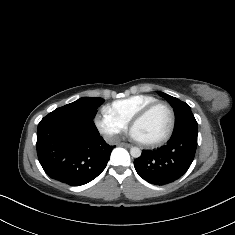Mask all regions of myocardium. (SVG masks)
<instances>
[{
	"label": "myocardium",
	"mask_w": 235,
	"mask_h": 235,
	"mask_svg": "<svg viewBox=\"0 0 235 235\" xmlns=\"http://www.w3.org/2000/svg\"><path fill=\"white\" fill-rule=\"evenodd\" d=\"M160 107H163L165 108L169 115H170V126H169V129L167 131V133L157 139V140H154L152 142H139L142 146L146 147V148H154V147H157L165 142H167L173 135L174 133V130H175V126H176V115H175V111L174 109L166 102L164 101H157V102H154L148 106H146L145 108H143L140 112H138L131 120V124H130V127L133 129V126L135 123L143 120L144 118H146L153 110L157 109V108H160Z\"/></svg>",
	"instance_id": "myocardium-1"
}]
</instances>
